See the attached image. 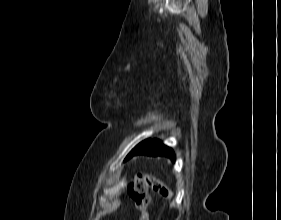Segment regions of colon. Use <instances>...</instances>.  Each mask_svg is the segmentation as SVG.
<instances>
[{"mask_svg":"<svg viewBox=\"0 0 281 220\" xmlns=\"http://www.w3.org/2000/svg\"><path fill=\"white\" fill-rule=\"evenodd\" d=\"M151 187L154 191L165 198H170L171 193L163 183L146 173H139L128 184L127 192L129 197L134 201L136 209L140 213L139 220H149L148 206L150 196L148 189Z\"/></svg>","mask_w":281,"mask_h":220,"instance_id":"5ec220e1","label":"colon"}]
</instances>
